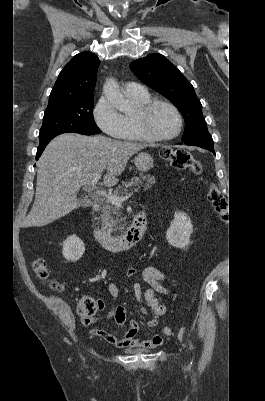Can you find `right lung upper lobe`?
Listing matches in <instances>:
<instances>
[{
  "instance_id": "1",
  "label": "right lung upper lobe",
  "mask_w": 265,
  "mask_h": 401,
  "mask_svg": "<svg viewBox=\"0 0 265 401\" xmlns=\"http://www.w3.org/2000/svg\"><path fill=\"white\" fill-rule=\"evenodd\" d=\"M99 63L94 53L81 52L75 55L60 72L48 105L93 95Z\"/></svg>"
}]
</instances>
